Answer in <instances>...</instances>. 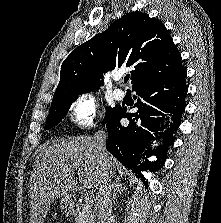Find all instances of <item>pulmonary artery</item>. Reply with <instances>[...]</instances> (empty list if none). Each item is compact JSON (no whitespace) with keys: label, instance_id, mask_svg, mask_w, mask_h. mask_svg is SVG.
I'll return each mask as SVG.
<instances>
[{"label":"pulmonary artery","instance_id":"1","mask_svg":"<svg viewBox=\"0 0 221 223\" xmlns=\"http://www.w3.org/2000/svg\"><path fill=\"white\" fill-rule=\"evenodd\" d=\"M115 81L117 82H121L122 81V77L121 76H115ZM115 99L117 100H121L124 98L125 96V91L121 88H116L113 92Z\"/></svg>","mask_w":221,"mask_h":223}]
</instances>
